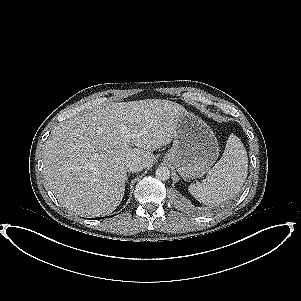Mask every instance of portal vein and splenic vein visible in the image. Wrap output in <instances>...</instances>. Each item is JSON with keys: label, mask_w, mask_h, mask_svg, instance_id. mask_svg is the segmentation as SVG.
Segmentation results:
<instances>
[{"label": "portal vein and splenic vein", "mask_w": 301, "mask_h": 301, "mask_svg": "<svg viewBox=\"0 0 301 301\" xmlns=\"http://www.w3.org/2000/svg\"><path fill=\"white\" fill-rule=\"evenodd\" d=\"M125 138H129V135H125ZM127 143V140H125V144Z\"/></svg>", "instance_id": "1"}]
</instances>
